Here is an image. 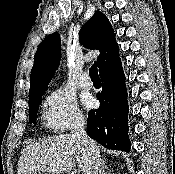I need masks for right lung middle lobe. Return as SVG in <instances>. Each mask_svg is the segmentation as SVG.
<instances>
[{"mask_svg": "<svg viewBox=\"0 0 175 174\" xmlns=\"http://www.w3.org/2000/svg\"><path fill=\"white\" fill-rule=\"evenodd\" d=\"M41 101V96H38L29 101V121L30 123H35L39 103Z\"/></svg>", "mask_w": 175, "mask_h": 174, "instance_id": "dd1d6c3e", "label": "right lung middle lobe"}]
</instances>
